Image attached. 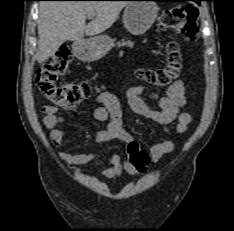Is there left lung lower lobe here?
<instances>
[{"label":"left lung lower lobe","instance_id":"1","mask_svg":"<svg viewBox=\"0 0 234 231\" xmlns=\"http://www.w3.org/2000/svg\"><path fill=\"white\" fill-rule=\"evenodd\" d=\"M188 1H194V2H196L198 4H200V1H204V0H188Z\"/></svg>","mask_w":234,"mask_h":231}]
</instances>
